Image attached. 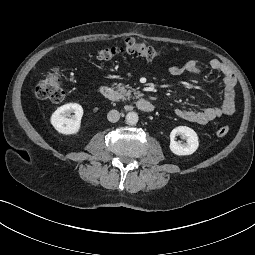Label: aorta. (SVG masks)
Instances as JSON below:
<instances>
[{
	"label": "aorta",
	"mask_w": 255,
	"mask_h": 255,
	"mask_svg": "<svg viewBox=\"0 0 255 255\" xmlns=\"http://www.w3.org/2000/svg\"><path fill=\"white\" fill-rule=\"evenodd\" d=\"M125 119L128 124L135 125L138 122V114L136 112H128Z\"/></svg>",
	"instance_id": "aorta-1"
}]
</instances>
